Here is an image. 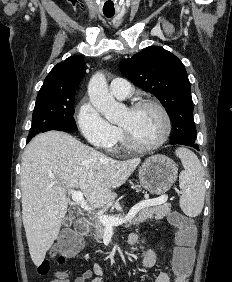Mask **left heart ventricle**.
<instances>
[{
    "mask_svg": "<svg viewBox=\"0 0 232 282\" xmlns=\"http://www.w3.org/2000/svg\"><path fill=\"white\" fill-rule=\"evenodd\" d=\"M133 140L139 144H151L161 138L165 123L161 113L153 107H142L135 111L127 109L120 121Z\"/></svg>",
    "mask_w": 232,
    "mask_h": 282,
    "instance_id": "1",
    "label": "left heart ventricle"
}]
</instances>
